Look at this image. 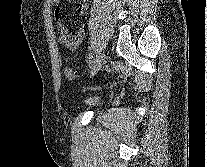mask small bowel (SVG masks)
Listing matches in <instances>:
<instances>
[{"label":"small bowel","instance_id":"1","mask_svg":"<svg viewBox=\"0 0 207 167\" xmlns=\"http://www.w3.org/2000/svg\"><path fill=\"white\" fill-rule=\"evenodd\" d=\"M90 0H80L78 12L81 15H85L87 13L89 7ZM55 19H56V27L59 32V42L67 49V50H75L81 43L83 38L84 29L81 27L75 34H70L66 25L61 19V8L57 7L55 11Z\"/></svg>","mask_w":207,"mask_h":167}]
</instances>
